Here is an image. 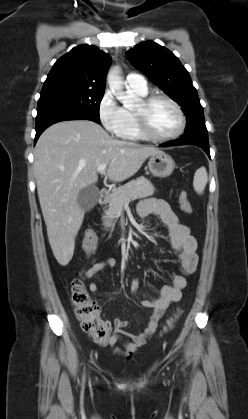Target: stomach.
<instances>
[{
    "label": "stomach",
    "mask_w": 248,
    "mask_h": 419,
    "mask_svg": "<svg viewBox=\"0 0 248 419\" xmlns=\"http://www.w3.org/2000/svg\"><path fill=\"white\" fill-rule=\"evenodd\" d=\"M148 167L153 176L165 178L172 174L175 162L168 154L159 152L150 156Z\"/></svg>",
    "instance_id": "stomach-1"
}]
</instances>
